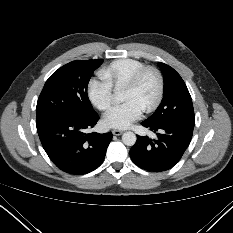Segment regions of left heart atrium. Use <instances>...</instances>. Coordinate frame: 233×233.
<instances>
[{
	"label": "left heart atrium",
	"instance_id": "left-heart-atrium-1",
	"mask_svg": "<svg viewBox=\"0 0 233 233\" xmlns=\"http://www.w3.org/2000/svg\"><path fill=\"white\" fill-rule=\"evenodd\" d=\"M144 109L135 101H126L114 107L104 117L106 126L115 129H127L138 120Z\"/></svg>",
	"mask_w": 233,
	"mask_h": 233
}]
</instances>
